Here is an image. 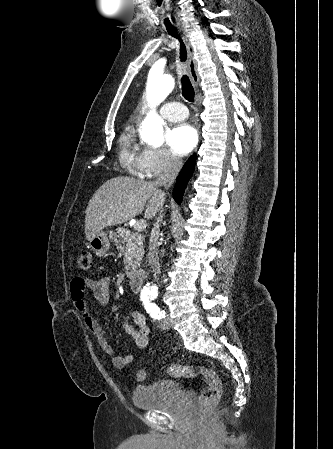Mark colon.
Listing matches in <instances>:
<instances>
[{"instance_id": "1", "label": "colon", "mask_w": 333, "mask_h": 449, "mask_svg": "<svg viewBox=\"0 0 333 449\" xmlns=\"http://www.w3.org/2000/svg\"><path fill=\"white\" fill-rule=\"evenodd\" d=\"M92 256L89 251H84L78 258V266L81 270H88L91 267ZM167 372L170 376L176 378H195L203 377L206 386L200 396V408L205 410L212 407L219 399L221 394V382L218 375L209 368L197 365L182 366L172 364L168 366ZM146 371L140 369L135 376L138 381H143L146 378Z\"/></svg>"}]
</instances>
